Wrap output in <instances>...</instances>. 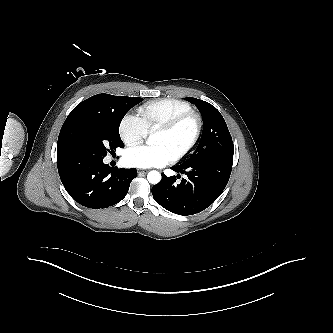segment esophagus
<instances>
[{"label":"esophagus","mask_w":333,"mask_h":333,"mask_svg":"<svg viewBox=\"0 0 333 333\" xmlns=\"http://www.w3.org/2000/svg\"><path fill=\"white\" fill-rule=\"evenodd\" d=\"M138 175L139 176H142V175H144V174H146L147 173V171H145V170H140V169H138Z\"/></svg>","instance_id":"obj_1"}]
</instances>
